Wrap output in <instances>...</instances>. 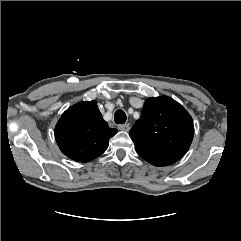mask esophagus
<instances>
[{"label":"esophagus","instance_id":"1","mask_svg":"<svg viewBox=\"0 0 241 241\" xmlns=\"http://www.w3.org/2000/svg\"><path fill=\"white\" fill-rule=\"evenodd\" d=\"M118 129L121 131H129L130 130V126L128 124H122V125H118Z\"/></svg>","mask_w":241,"mask_h":241}]
</instances>
